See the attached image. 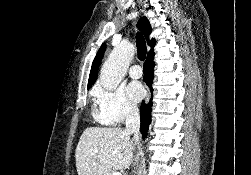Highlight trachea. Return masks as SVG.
Instances as JSON below:
<instances>
[{"instance_id":"1","label":"trachea","mask_w":251,"mask_h":175,"mask_svg":"<svg viewBox=\"0 0 251 175\" xmlns=\"http://www.w3.org/2000/svg\"><path fill=\"white\" fill-rule=\"evenodd\" d=\"M136 44H137V53L139 60H145L146 58V42L143 35L140 32L136 34Z\"/></svg>"}]
</instances>
